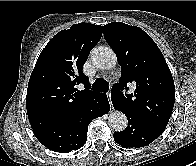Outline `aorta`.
<instances>
[{
	"label": "aorta",
	"mask_w": 196,
	"mask_h": 166,
	"mask_svg": "<svg viewBox=\"0 0 196 166\" xmlns=\"http://www.w3.org/2000/svg\"><path fill=\"white\" fill-rule=\"evenodd\" d=\"M92 61L97 68L103 70L112 69L117 63V57L114 51L107 46H100L92 51ZM108 122L115 131H123L127 127V117L121 111H113L110 113Z\"/></svg>",
	"instance_id": "aorta-1"
}]
</instances>
